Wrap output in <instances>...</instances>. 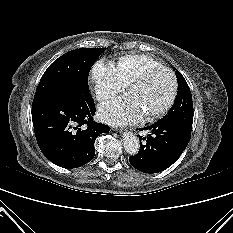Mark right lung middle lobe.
<instances>
[{"label": "right lung middle lobe", "instance_id": "right-lung-middle-lobe-1", "mask_svg": "<svg viewBox=\"0 0 233 233\" xmlns=\"http://www.w3.org/2000/svg\"><path fill=\"white\" fill-rule=\"evenodd\" d=\"M105 49H76L56 59L43 74L33 104L50 98L88 94L90 69Z\"/></svg>", "mask_w": 233, "mask_h": 233}]
</instances>
